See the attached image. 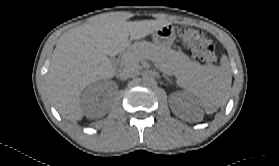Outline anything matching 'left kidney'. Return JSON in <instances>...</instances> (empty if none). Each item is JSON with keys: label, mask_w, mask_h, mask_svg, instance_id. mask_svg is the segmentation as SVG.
Returning a JSON list of instances; mask_svg holds the SVG:
<instances>
[{"label": "left kidney", "mask_w": 279, "mask_h": 166, "mask_svg": "<svg viewBox=\"0 0 279 166\" xmlns=\"http://www.w3.org/2000/svg\"><path fill=\"white\" fill-rule=\"evenodd\" d=\"M176 98L178 101V108L179 109H186V108H196L197 102L196 100L187 93H178L176 94Z\"/></svg>", "instance_id": "obj_1"}]
</instances>
